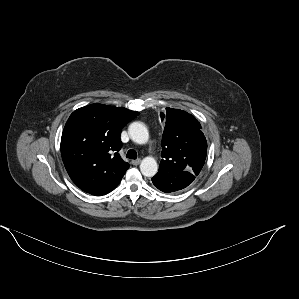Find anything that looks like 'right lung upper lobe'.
I'll return each mask as SVG.
<instances>
[{
	"label": "right lung upper lobe",
	"mask_w": 299,
	"mask_h": 299,
	"mask_svg": "<svg viewBox=\"0 0 299 299\" xmlns=\"http://www.w3.org/2000/svg\"><path fill=\"white\" fill-rule=\"evenodd\" d=\"M139 112L91 104L75 110L61 137V154L72 181L83 191L104 195L120 183L129 164L118 151L121 129Z\"/></svg>",
	"instance_id": "obj_1"
}]
</instances>
